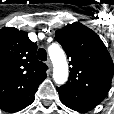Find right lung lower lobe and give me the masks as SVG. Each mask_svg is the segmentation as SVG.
Here are the masks:
<instances>
[{
  "label": "right lung lower lobe",
  "mask_w": 114,
  "mask_h": 114,
  "mask_svg": "<svg viewBox=\"0 0 114 114\" xmlns=\"http://www.w3.org/2000/svg\"><path fill=\"white\" fill-rule=\"evenodd\" d=\"M34 94H35V92L24 98H21L15 102H12L3 107H0V108L6 112L20 111V110L24 109L25 107H27L28 105H30L34 101V99H35Z\"/></svg>",
  "instance_id": "obj_1"
}]
</instances>
